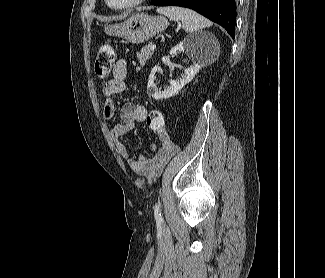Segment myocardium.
<instances>
[{"instance_id":"obj_1","label":"myocardium","mask_w":325,"mask_h":278,"mask_svg":"<svg viewBox=\"0 0 325 278\" xmlns=\"http://www.w3.org/2000/svg\"><path fill=\"white\" fill-rule=\"evenodd\" d=\"M146 0H133L127 4L124 5H120V6H114L110 3L109 0H105L106 4L113 10H126V9H131L134 8L140 4H142L143 2H145Z\"/></svg>"}]
</instances>
